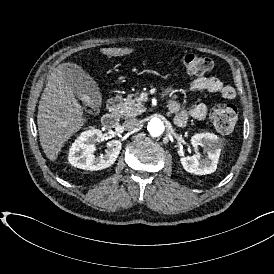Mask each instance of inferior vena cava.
<instances>
[{
  "mask_svg": "<svg viewBox=\"0 0 274 274\" xmlns=\"http://www.w3.org/2000/svg\"><path fill=\"white\" fill-rule=\"evenodd\" d=\"M140 125H141L140 120H138L136 118L127 119L123 123L124 129L127 131H135L136 129H138L140 127Z\"/></svg>",
  "mask_w": 274,
  "mask_h": 274,
  "instance_id": "inferior-vena-cava-1",
  "label": "inferior vena cava"
}]
</instances>
